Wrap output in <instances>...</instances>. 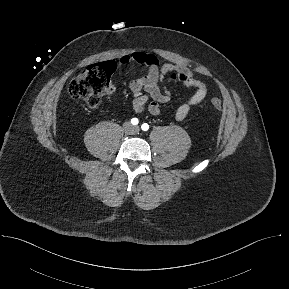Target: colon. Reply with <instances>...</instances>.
Instances as JSON below:
<instances>
[{"instance_id":"colon-1","label":"colon","mask_w":289,"mask_h":289,"mask_svg":"<svg viewBox=\"0 0 289 289\" xmlns=\"http://www.w3.org/2000/svg\"><path fill=\"white\" fill-rule=\"evenodd\" d=\"M115 65L111 62L98 63L82 70L68 85V93L76 99H84L90 108H97L104 96L113 92L111 75ZM212 106L220 110L222 102L219 98L211 99Z\"/></svg>"}]
</instances>
